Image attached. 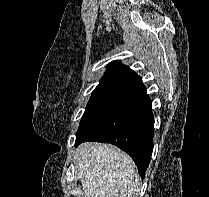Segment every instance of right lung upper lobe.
Segmentation results:
<instances>
[{"label": "right lung upper lobe", "instance_id": "1", "mask_svg": "<svg viewBox=\"0 0 209 197\" xmlns=\"http://www.w3.org/2000/svg\"><path fill=\"white\" fill-rule=\"evenodd\" d=\"M100 84H116L143 93L146 91L142 78L120 61H112L107 65V71Z\"/></svg>", "mask_w": 209, "mask_h": 197}]
</instances>
